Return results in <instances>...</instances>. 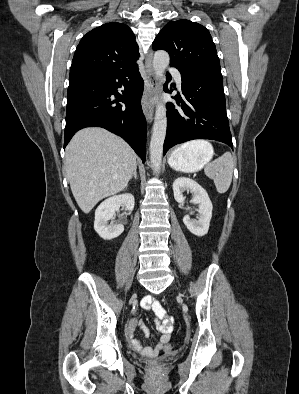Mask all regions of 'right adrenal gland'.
Returning <instances> with one entry per match:
<instances>
[{"label":"right adrenal gland","instance_id":"right-adrenal-gland-1","mask_svg":"<svg viewBox=\"0 0 299 394\" xmlns=\"http://www.w3.org/2000/svg\"><path fill=\"white\" fill-rule=\"evenodd\" d=\"M133 177H134L135 179H137V167L135 168V170H134V172H133V175H132L131 179H132Z\"/></svg>","mask_w":299,"mask_h":394}]
</instances>
